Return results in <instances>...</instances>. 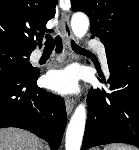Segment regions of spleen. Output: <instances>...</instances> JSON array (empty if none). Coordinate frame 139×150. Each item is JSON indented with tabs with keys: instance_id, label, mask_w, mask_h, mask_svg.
I'll list each match as a JSON object with an SVG mask.
<instances>
[{
	"instance_id": "obj_1",
	"label": "spleen",
	"mask_w": 139,
	"mask_h": 150,
	"mask_svg": "<svg viewBox=\"0 0 139 150\" xmlns=\"http://www.w3.org/2000/svg\"><path fill=\"white\" fill-rule=\"evenodd\" d=\"M104 150H135V149L130 146L117 144V145L106 146Z\"/></svg>"
}]
</instances>
